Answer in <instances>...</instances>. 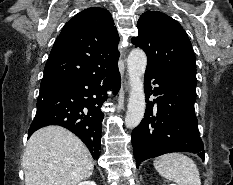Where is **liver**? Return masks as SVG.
<instances>
[{"instance_id": "liver-1", "label": "liver", "mask_w": 233, "mask_h": 185, "mask_svg": "<svg viewBox=\"0 0 233 185\" xmlns=\"http://www.w3.org/2000/svg\"><path fill=\"white\" fill-rule=\"evenodd\" d=\"M22 164L25 185H78L94 169L85 144L60 126H47L32 134Z\"/></svg>"}]
</instances>
